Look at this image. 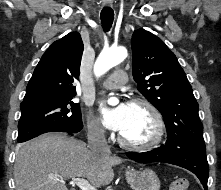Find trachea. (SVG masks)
<instances>
[{"instance_id": "trachea-1", "label": "trachea", "mask_w": 221, "mask_h": 190, "mask_svg": "<svg viewBox=\"0 0 221 190\" xmlns=\"http://www.w3.org/2000/svg\"><path fill=\"white\" fill-rule=\"evenodd\" d=\"M100 18L105 32H108L113 24L114 11L110 7H104L101 11Z\"/></svg>"}]
</instances>
